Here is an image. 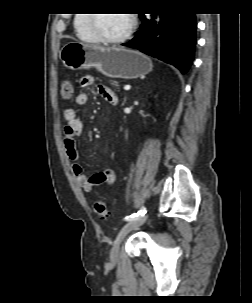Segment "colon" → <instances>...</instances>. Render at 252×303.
Here are the masks:
<instances>
[{
    "instance_id": "1",
    "label": "colon",
    "mask_w": 252,
    "mask_h": 303,
    "mask_svg": "<svg viewBox=\"0 0 252 303\" xmlns=\"http://www.w3.org/2000/svg\"><path fill=\"white\" fill-rule=\"evenodd\" d=\"M60 93L64 101H70L74 93L72 81L64 80L61 84ZM93 209L95 214H97L100 218L105 219L108 217V209L104 200L96 199L93 204Z\"/></svg>"
}]
</instances>
